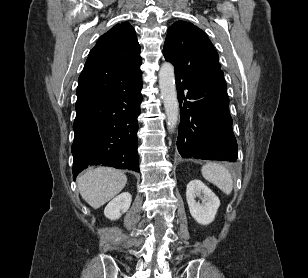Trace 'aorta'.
Masks as SVG:
<instances>
[{"mask_svg": "<svg viewBox=\"0 0 308 278\" xmlns=\"http://www.w3.org/2000/svg\"><path fill=\"white\" fill-rule=\"evenodd\" d=\"M159 88L167 117V127L169 132H173L178 121L179 104L177 100L174 67L171 63L165 62L161 65L159 71Z\"/></svg>", "mask_w": 308, "mask_h": 278, "instance_id": "aorta-1", "label": "aorta"}]
</instances>
